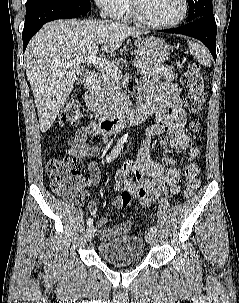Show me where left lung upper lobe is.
I'll return each instance as SVG.
<instances>
[{
  "mask_svg": "<svg viewBox=\"0 0 239 303\" xmlns=\"http://www.w3.org/2000/svg\"><path fill=\"white\" fill-rule=\"evenodd\" d=\"M189 4L188 20L193 21L200 17L213 16L212 0H187Z\"/></svg>",
  "mask_w": 239,
  "mask_h": 303,
  "instance_id": "5c2ea615",
  "label": "left lung upper lobe"
}]
</instances>
